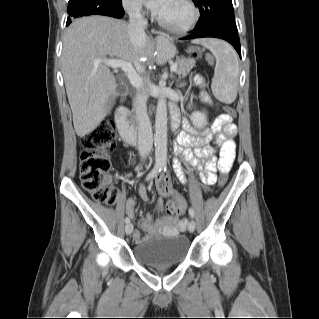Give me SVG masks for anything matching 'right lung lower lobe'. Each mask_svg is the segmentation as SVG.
Returning a JSON list of instances; mask_svg holds the SVG:
<instances>
[{
  "instance_id": "1",
  "label": "right lung lower lobe",
  "mask_w": 319,
  "mask_h": 319,
  "mask_svg": "<svg viewBox=\"0 0 319 319\" xmlns=\"http://www.w3.org/2000/svg\"><path fill=\"white\" fill-rule=\"evenodd\" d=\"M100 15H105V16H110V17H115V18H121L124 15V11L122 6L116 8L113 11L102 13Z\"/></svg>"
}]
</instances>
